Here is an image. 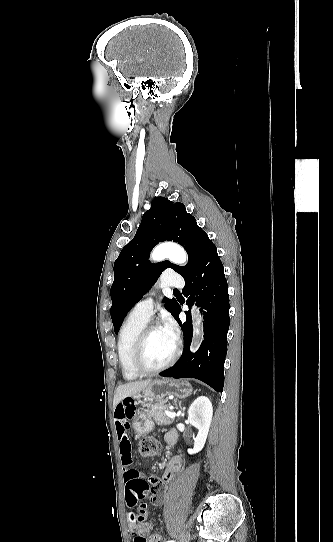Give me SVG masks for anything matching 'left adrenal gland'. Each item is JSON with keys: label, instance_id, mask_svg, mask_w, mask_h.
I'll list each match as a JSON object with an SVG mask.
<instances>
[{"label": "left adrenal gland", "instance_id": "1", "mask_svg": "<svg viewBox=\"0 0 333 542\" xmlns=\"http://www.w3.org/2000/svg\"><path fill=\"white\" fill-rule=\"evenodd\" d=\"M178 406H179V408H182V406H181V400H180V402H178Z\"/></svg>", "mask_w": 333, "mask_h": 542}]
</instances>
